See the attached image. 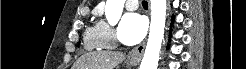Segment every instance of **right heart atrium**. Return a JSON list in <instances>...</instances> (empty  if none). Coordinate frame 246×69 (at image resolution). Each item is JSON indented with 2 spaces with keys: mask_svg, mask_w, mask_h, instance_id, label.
Here are the masks:
<instances>
[{
  "mask_svg": "<svg viewBox=\"0 0 246 69\" xmlns=\"http://www.w3.org/2000/svg\"><path fill=\"white\" fill-rule=\"evenodd\" d=\"M97 25L104 39V44L107 46L114 45L117 41L115 30L105 21H99Z\"/></svg>",
  "mask_w": 246,
  "mask_h": 69,
  "instance_id": "obj_1",
  "label": "right heart atrium"
}]
</instances>
